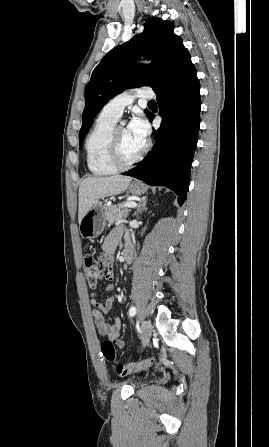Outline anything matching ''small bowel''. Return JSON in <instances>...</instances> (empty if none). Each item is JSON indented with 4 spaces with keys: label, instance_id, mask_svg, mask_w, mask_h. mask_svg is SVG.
Returning a JSON list of instances; mask_svg holds the SVG:
<instances>
[{
    "label": "small bowel",
    "instance_id": "1",
    "mask_svg": "<svg viewBox=\"0 0 269 447\" xmlns=\"http://www.w3.org/2000/svg\"><path fill=\"white\" fill-rule=\"evenodd\" d=\"M120 238V230L113 229L108 236L106 237L102 249L106 254H112L116 248V245ZM126 250L132 251V245L128 242L126 244ZM109 279H112V275L110 274ZM113 289V285H108L107 290ZM114 297L109 296L105 299L104 302L98 301L96 296L93 294L90 303L94 307L92 311V316L95 320L98 332L102 336H107L111 341H113L119 348H123L125 346L124 340L120 338V332L122 329L121 319L119 317H115L113 321H109L105 318V314L109 313L113 304Z\"/></svg>",
    "mask_w": 269,
    "mask_h": 447
}]
</instances>
